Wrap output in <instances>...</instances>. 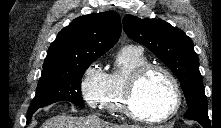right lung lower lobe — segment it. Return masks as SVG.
I'll list each match as a JSON object with an SVG mask.
<instances>
[{"mask_svg": "<svg viewBox=\"0 0 221 128\" xmlns=\"http://www.w3.org/2000/svg\"><path fill=\"white\" fill-rule=\"evenodd\" d=\"M34 112H32V113H29V115H28V117H27V124H29V122H30V119H31V117H32V114H33Z\"/></svg>", "mask_w": 221, "mask_h": 128, "instance_id": "right-lung-lower-lobe-1", "label": "right lung lower lobe"}]
</instances>
